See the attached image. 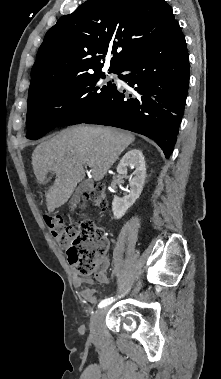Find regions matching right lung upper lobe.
<instances>
[{"label": "right lung upper lobe", "mask_w": 221, "mask_h": 379, "mask_svg": "<svg viewBox=\"0 0 221 379\" xmlns=\"http://www.w3.org/2000/svg\"><path fill=\"white\" fill-rule=\"evenodd\" d=\"M165 0H88L49 29L31 71L28 101L48 86L110 69L178 27Z\"/></svg>", "instance_id": "right-lung-upper-lobe-1"}]
</instances>
